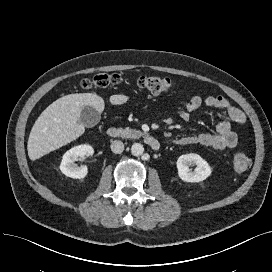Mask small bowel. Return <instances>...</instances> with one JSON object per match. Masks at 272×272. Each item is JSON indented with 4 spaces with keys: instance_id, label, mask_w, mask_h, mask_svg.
Masks as SVG:
<instances>
[{
    "instance_id": "1",
    "label": "small bowel",
    "mask_w": 272,
    "mask_h": 272,
    "mask_svg": "<svg viewBox=\"0 0 272 272\" xmlns=\"http://www.w3.org/2000/svg\"><path fill=\"white\" fill-rule=\"evenodd\" d=\"M202 105L223 110L227 115V119L217 124L215 132L185 135L173 139L171 142L182 146L199 144L217 150L234 148L238 143V136L232 130V124H244L246 122V115L223 96H207L203 98L200 95H194L180 107V118L183 121H189L192 113Z\"/></svg>"
}]
</instances>
